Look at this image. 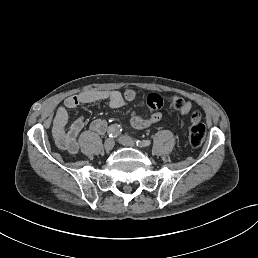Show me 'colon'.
<instances>
[{
	"mask_svg": "<svg viewBox=\"0 0 258 258\" xmlns=\"http://www.w3.org/2000/svg\"><path fill=\"white\" fill-rule=\"evenodd\" d=\"M170 103H172L173 108L176 110H181L185 105V102L181 98H176V99L171 98ZM205 135H206V128L203 124L201 123L193 124L189 130V135H188L190 144L194 147L200 146L205 139Z\"/></svg>",
	"mask_w": 258,
	"mask_h": 258,
	"instance_id": "1",
	"label": "colon"
}]
</instances>
